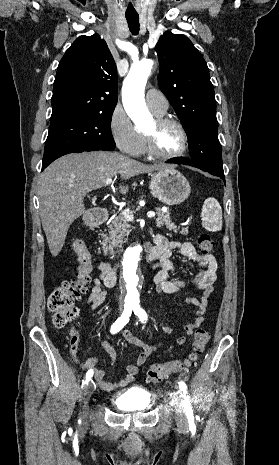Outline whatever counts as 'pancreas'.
Here are the masks:
<instances>
[{
    "label": "pancreas",
    "instance_id": "pancreas-1",
    "mask_svg": "<svg viewBox=\"0 0 279 465\" xmlns=\"http://www.w3.org/2000/svg\"><path fill=\"white\" fill-rule=\"evenodd\" d=\"M157 211V218H156V226L161 228L165 226L168 230H173L177 232L179 228L171 221L170 213L162 212L159 208L156 209ZM129 222L128 220L120 213L118 216L112 219L111 224L108 226V233L109 234H102L103 242L102 248L105 254L109 252L110 255H114L116 253V249L123 245L124 237L128 233ZM181 234L187 235L188 228H182Z\"/></svg>",
    "mask_w": 279,
    "mask_h": 465
}]
</instances>
